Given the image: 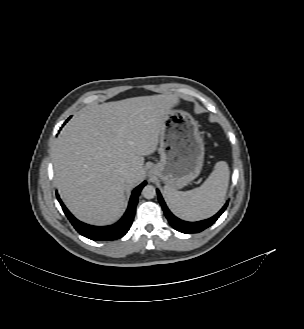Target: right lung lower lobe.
<instances>
[{
	"mask_svg": "<svg viewBox=\"0 0 304 329\" xmlns=\"http://www.w3.org/2000/svg\"><path fill=\"white\" fill-rule=\"evenodd\" d=\"M145 185H146V181H144L142 184H140L138 187H136L133 190L128 208L125 214L123 215V217L117 223L104 227L91 226L77 220L64 206L63 202L61 201L58 195L57 198L60 205L62 206L65 215L67 216L71 224L74 226V228L81 235L94 241L115 240L124 236L129 230L132 221L134 219L136 205L138 202V196L140 194V191Z\"/></svg>",
	"mask_w": 304,
	"mask_h": 329,
	"instance_id": "1",
	"label": "right lung lower lobe"
}]
</instances>
